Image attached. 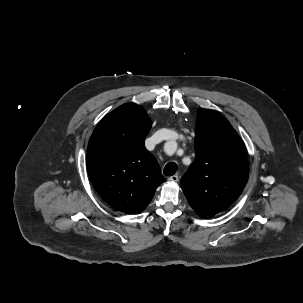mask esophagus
Returning <instances> with one entry per match:
<instances>
[{
    "instance_id": "1",
    "label": "esophagus",
    "mask_w": 303,
    "mask_h": 303,
    "mask_svg": "<svg viewBox=\"0 0 303 303\" xmlns=\"http://www.w3.org/2000/svg\"><path fill=\"white\" fill-rule=\"evenodd\" d=\"M169 181L177 182L179 180L178 175H173L168 178Z\"/></svg>"
}]
</instances>
